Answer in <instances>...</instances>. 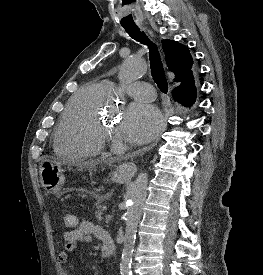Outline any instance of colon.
<instances>
[{"label": "colon", "mask_w": 263, "mask_h": 275, "mask_svg": "<svg viewBox=\"0 0 263 275\" xmlns=\"http://www.w3.org/2000/svg\"><path fill=\"white\" fill-rule=\"evenodd\" d=\"M63 225L67 229H72L77 225V218L73 214H65L63 216Z\"/></svg>", "instance_id": "colon-1"}]
</instances>
